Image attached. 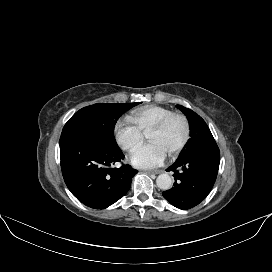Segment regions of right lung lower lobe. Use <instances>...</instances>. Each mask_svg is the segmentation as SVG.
<instances>
[{"mask_svg":"<svg viewBox=\"0 0 272 272\" xmlns=\"http://www.w3.org/2000/svg\"><path fill=\"white\" fill-rule=\"evenodd\" d=\"M59 143L64 181L84 205L104 209L127 193L138 171L130 165L113 167L124 158L118 146L81 131L62 133Z\"/></svg>","mask_w":272,"mask_h":272,"instance_id":"98d812e1","label":"right lung lower lobe"}]
</instances>
